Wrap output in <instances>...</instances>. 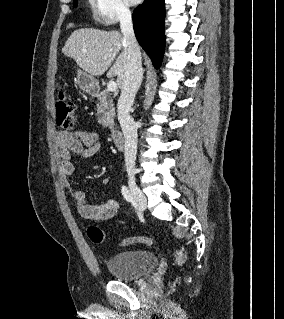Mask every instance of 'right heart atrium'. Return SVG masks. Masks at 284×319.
<instances>
[{
	"instance_id": "right-heart-atrium-1",
	"label": "right heart atrium",
	"mask_w": 284,
	"mask_h": 319,
	"mask_svg": "<svg viewBox=\"0 0 284 319\" xmlns=\"http://www.w3.org/2000/svg\"><path fill=\"white\" fill-rule=\"evenodd\" d=\"M95 18L104 25H113L131 16L125 0H90Z\"/></svg>"
}]
</instances>
